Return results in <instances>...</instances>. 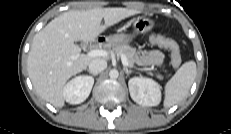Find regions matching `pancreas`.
<instances>
[{
	"instance_id": "obj_1",
	"label": "pancreas",
	"mask_w": 231,
	"mask_h": 134,
	"mask_svg": "<svg viewBox=\"0 0 231 134\" xmlns=\"http://www.w3.org/2000/svg\"><path fill=\"white\" fill-rule=\"evenodd\" d=\"M107 48L112 49L116 54L118 55H125L127 57V60L129 62V65L131 67H134V63H135V48L130 47L127 44H116V45H112V44H107L106 45ZM152 75V73H150ZM157 78L162 79V75H157Z\"/></svg>"
}]
</instances>
